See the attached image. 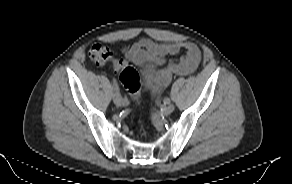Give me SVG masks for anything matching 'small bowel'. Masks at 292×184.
<instances>
[{
    "instance_id": "small-bowel-1",
    "label": "small bowel",
    "mask_w": 292,
    "mask_h": 184,
    "mask_svg": "<svg viewBox=\"0 0 292 184\" xmlns=\"http://www.w3.org/2000/svg\"><path fill=\"white\" fill-rule=\"evenodd\" d=\"M128 61L137 66L161 65L165 66L152 73V79L157 87L167 86L174 76H186L193 73L201 59L199 48L192 42L158 43L148 38L123 49ZM182 54L176 60L167 61L168 56ZM128 65L126 60L114 59L113 67L116 71Z\"/></svg>"
}]
</instances>
